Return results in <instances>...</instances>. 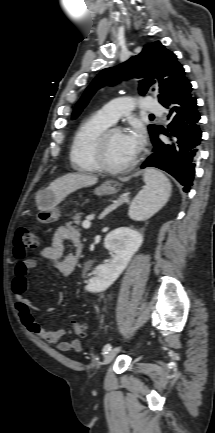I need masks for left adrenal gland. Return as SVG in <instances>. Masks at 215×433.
<instances>
[{"label": "left adrenal gland", "instance_id": "left-adrenal-gland-1", "mask_svg": "<svg viewBox=\"0 0 215 433\" xmlns=\"http://www.w3.org/2000/svg\"><path fill=\"white\" fill-rule=\"evenodd\" d=\"M129 193H124L122 195L119 196V198L117 200H115L113 202L112 205H110L109 207H107L102 214L100 215L99 219H103L106 215H108L110 212H112L113 210H115L116 208H118L119 206H121L124 203H128L129 202Z\"/></svg>", "mask_w": 215, "mask_h": 433}]
</instances>
